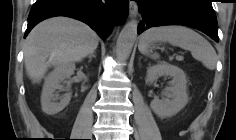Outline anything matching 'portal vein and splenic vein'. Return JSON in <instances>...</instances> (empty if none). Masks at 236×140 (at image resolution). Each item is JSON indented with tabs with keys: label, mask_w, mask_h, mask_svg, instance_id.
<instances>
[{
	"label": "portal vein and splenic vein",
	"mask_w": 236,
	"mask_h": 140,
	"mask_svg": "<svg viewBox=\"0 0 236 140\" xmlns=\"http://www.w3.org/2000/svg\"><path fill=\"white\" fill-rule=\"evenodd\" d=\"M177 60H183V56H177Z\"/></svg>",
	"instance_id": "portal-vein-and-splenic-vein-1"
}]
</instances>
